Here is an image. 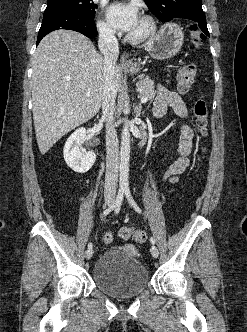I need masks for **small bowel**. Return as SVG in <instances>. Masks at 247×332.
<instances>
[{"instance_id": "small-bowel-1", "label": "small bowel", "mask_w": 247, "mask_h": 332, "mask_svg": "<svg viewBox=\"0 0 247 332\" xmlns=\"http://www.w3.org/2000/svg\"><path fill=\"white\" fill-rule=\"evenodd\" d=\"M168 108H172L181 118H186L188 115L186 106L180 96L173 91L160 87L153 102V115L157 118L162 117ZM193 137L194 133L191 127L187 124H182L178 148L179 157L165 172L164 178L166 180L175 182L178 176L188 169L190 164L189 157L193 148Z\"/></svg>"}]
</instances>
